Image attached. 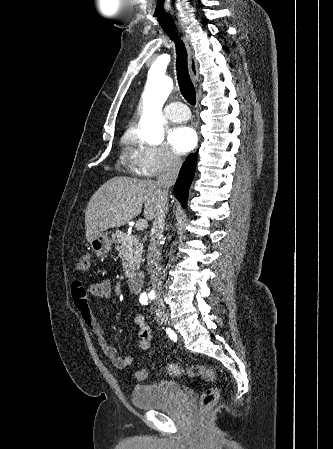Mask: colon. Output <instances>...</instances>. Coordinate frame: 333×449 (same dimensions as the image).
Segmentation results:
<instances>
[{"label":"colon","instance_id":"colon-1","mask_svg":"<svg viewBox=\"0 0 333 449\" xmlns=\"http://www.w3.org/2000/svg\"><path fill=\"white\" fill-rule=\"evenodd\" d=\"M91 267V254L88 252L83 253L77 261V269L81 272L89 271ZM165 371L168 375L173 377L186 376L189 378L201 377L207 382H215L216 375L214 371L204 365H191L188 367H181L178 364L170 363L165 366ZM148 372L146 369H140L136 372V378L138 380L146 379ZM219 397V390L217 387L212 386L206 389L201 395L200 407L206 409L212 407Z\"/></svg>","mask_w":333,"mask_h":449}]
</instances>
